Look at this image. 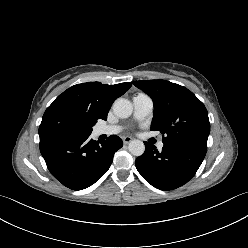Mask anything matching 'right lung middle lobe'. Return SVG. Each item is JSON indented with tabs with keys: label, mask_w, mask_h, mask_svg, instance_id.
Instances as JSON below:
<instances>
[{
	"label": "right lung middle lobe",
	"mask_w": 248,
	"mask_h": 248,
	"mask_svg": "<svg viewBox=\"0 0 248 248\" xmlns=\"http://www.w3.org/2000/svg\"><path fill=\"white\" fill-rule=\"evenodd\" d=\"M95 123L65 109L45 112L39 127V136L45 135H90Z\"/></svg>",
	"instance_id": "dd1d6c3e"
}]
</instances>
